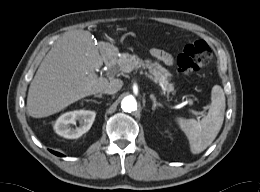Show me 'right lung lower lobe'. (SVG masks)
<instances>
[{
  "label": "right lung lower lobe",
  "instance_id": "obj_1",
  "mask_svg": "<svg viewBox=\"0 0 260 192\" xmlns=\"http://www.w3.org/2000/svg\"><path fill=\"white\" fill-rule=\"evenodd\" d=\"M53 154H55V155H57V156H60V157H62V156H64L63 154H61V153H58V152H55V151H52V150H50Z\"/></svg>",
  "mask_w": 260,
  "mask_h": 192
}]
</instances>
